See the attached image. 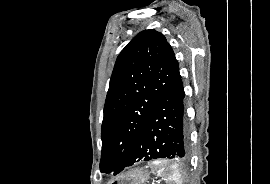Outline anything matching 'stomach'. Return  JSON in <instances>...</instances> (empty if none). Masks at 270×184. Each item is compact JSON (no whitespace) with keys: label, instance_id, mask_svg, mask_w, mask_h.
I'll list each match as a JSON object with an SVG mask.
<instances>
[{"label":"stomach","instance_id":"stomach-1","mask_svg":"<svg viewBox=\"0 0 270 184\" xmlns=\"http://www.w3.org/2000/svg\"><path fill=\"white\" fill-rule=\"evenodd\" d=\"M149 177L148 171L136 168L112 179L108 184H146Z\"/></svg>","mask_w":270,"mask_h":184}]
</instances>
